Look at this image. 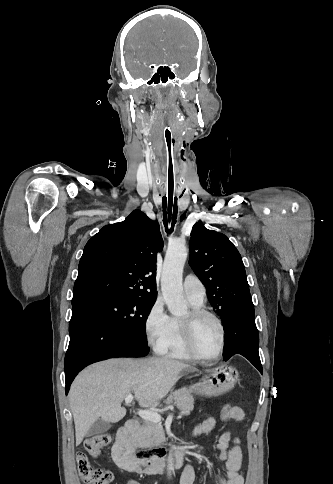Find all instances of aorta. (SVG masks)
<instances>
[{"instance_id": "obj_1", "label": "aorta", "mask_w": 333, "mask_h": 484, "mask_svg": "<svg viewBox=\"0 0 333 484\" xmlns=\"http://www.w3.org/2000/svg\"><path fill=\"white\" fill-rule=\"evenodd\" d=\"M187 259V248L183 243L171 245L164 259L161 276V291L169 312L173 315H181L186 310V302L183 296L182 274ZM168 475L174 471V462L168 457Z\"/></svg>"}]
</instances>
